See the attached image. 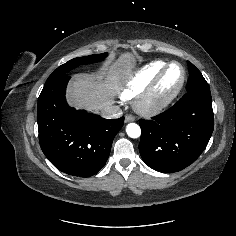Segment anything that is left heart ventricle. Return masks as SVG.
<instances>
[{
	"instance_id": "left-heart-ventricle-1",
	"label": "left heart ventricle",
	"mask_w": 236,
	"mask_h": 236,
	"mask_svg": "<svg viewBox=\"0 0 236 236\" xmlns=\"http://www.w3.org/2000/svg\"><path fill=\"white\" fill-rule=\"evenodd\" d=\"M181 76V68L178 65H172L157 87L155 98L160 99L169 95L179 84Z\"/></svg>"
}]
</instances>
